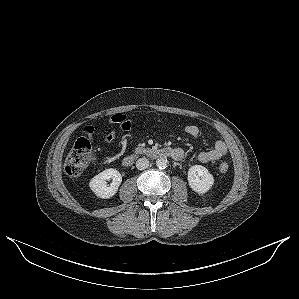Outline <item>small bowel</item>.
<instances>
[{
    "label": "small bowel",
    "instance_id": "small-bowel-1",
    "mask_svg": "<svg viewBox=\"0 0 299 299\" xmlns=\"http://www.w3.org/2000/svg\"><path fill=\"white\" fill-rule=\"evenodd\" d=\"M109 124H118L119 131H127L130 129V120L122 114H115L109 118ZM185 132L193 138H197L200 134V130L195 125H188L185 127ZM83 134L89 139L94 140L95 138V128L91 125L84 127ZM117 136V131H111L107 133L103 140L104 143L109 144L115 140ZM177 151L176 160H181L184 158V151L180 148H175ZM227 154V145L222 140H217L212 149L208 151H202L196 155V159L199 162L207 163L211 161L221 160Z\"/></svg>",
    "mask_w": 299,
    "mask_h": 299
}]
</instances>
